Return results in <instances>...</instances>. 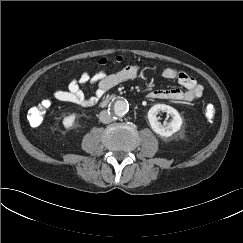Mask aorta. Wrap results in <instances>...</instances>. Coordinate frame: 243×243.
Segmentation results:
<instances>
[{
  "label": "aorta",
  "mask_w": 243,
  "mask_h": 243,
  "mask_svg": "<svg viewBox=\"0 0 243 243\" xmlns=\"http://www.w3.org/2000/svg\"><path fill=\"white\" fill-rule=\"evenodd\" d=\"M129 111V103L126 100L119 99L113 104V112L118 117H123Z\"/></svg>",
  "instance_id": "aorta-1"
}]
</instances>
